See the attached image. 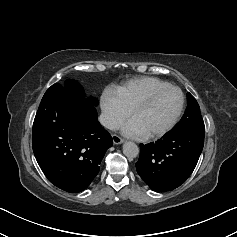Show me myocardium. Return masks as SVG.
<instances>
[{
    "mask_svg": "<svg viewBox=\"0 0 237 237\" xmlns=\"http://www.w3.org/2000/svg\"><path fill=\"white\" fill-rule=\"evenodd\" d=\"M166 90H175L179 93L180 95V105L175 113L174 117L171 119V121L162 129L148 133V134H143L144 139H155L159 138L166 133H168L170 130L174 128V126L178 123L183 111H184V106H185V97L182 92V90L176 86L173 85H167L161 88H157L155 90H152L151 92L147 93L145 96H143L141 99H139L130 109L129 111V116L132 118L134 113L139 110L140 108L144 107L146 104H148L150 101H152L157 95L161 94L162 92Z\"/></svg>",
    "mask_w": 237,
    "mask_h": 237,
    "instance_id": "1",
    "label": "myocardium"
}]
</instances>
